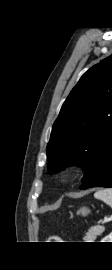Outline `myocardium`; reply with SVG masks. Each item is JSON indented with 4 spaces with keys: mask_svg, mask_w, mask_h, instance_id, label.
<instances>
[{
    "mask_svg": "<svg viewBox=\"0 0 112 270\" xmlns=\"http://www.w3.org/2000/svg\"><path fill=\"white\" fill-rule=\"evenodd\" d=\"M78 175V171L75 168L68 167L61 171L59 178L62 182H68L75 179Z\"/></svg>",
    "mask_w": 112,
    "mask_h": 270,
    "instance_id": "obj_1",
    "label": "myocardium"
}]
</instances>
